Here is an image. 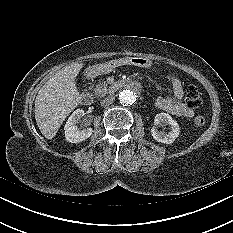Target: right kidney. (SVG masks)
<instances>
[{
  "label": "right kidney",
  "mask_w": 233,
  "mask_h": 233,
  "mask_svg": "<svg viewBox=\"0 0 233 233\" xmlns=\"http://www.w3.org/2000/svg\"><path fill=\"white\" fill-rule=\"evenodd\" d=\"M85 115L84 110L77 109L75 110L72 115L68 118L65 126H64V133L65 138L70 143H79L87 138H89L93 132L92 128H84L79 130L77 125L79 120Z\"/></svg>",
  "instance_id": "right-kidney-1"
}]
</instances>
